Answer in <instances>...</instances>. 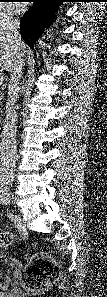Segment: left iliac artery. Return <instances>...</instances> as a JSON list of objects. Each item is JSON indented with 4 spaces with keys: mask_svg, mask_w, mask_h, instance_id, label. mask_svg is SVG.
Returning a JSON list of instances; mask_svg holds the SVG:
<instances>
[{
    "mask_svg": "<svg viewBox=\"0 0 107 297\" xmlns=\"http://www.w3.org/2000/svg\"><path fill=\"white\" fill-rule=\"evenodd\" d=\"M0 197H1V201L5 202V200L3 199V195H2V196H0Z\"/></svg>",
    "mask_w": 107,
    "mask_h": 297,
    "instance_id": "1",
    "label": "left iliac artery"
}]
</instances>
